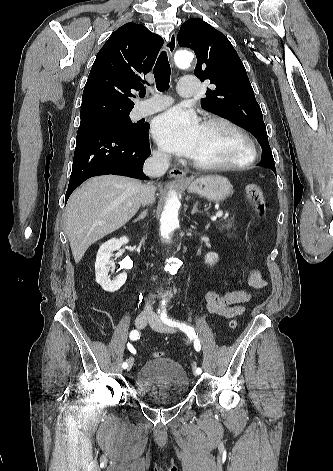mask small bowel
Listing matches in <instances>:
<instances>
[{
  "instance_id": "small-bowel-1",
  "label": "small bowel",
  "mask_w": 333,
  "mask_h": 471,
  "mask_svg": "<svg viewBox=\"0 0 333 471\" xmlns=\"http://www.w3.org/2000/svg\"><path fill=\"white\" fill-rule=\"evenodd\" d=\"M259 270H252L248 276V285L254 289H263L267 286ZM251 294L244 290H233L226 293L208 291L205 294L206 309L210 314L232 319L245 312L243 304L249 302Z\"/></svg>"
}]
</instances>
